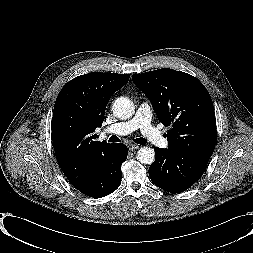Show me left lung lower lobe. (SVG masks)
Listing matches in <instances>:
<instances>
[{
    "mask_svg": "<svg viewBox=\"0 0 253 253\" xmlns=\"http://www.w3.org/2000/svg\"><path fill=\"white\" fill-rule=\"evenodd\" d=\"M156 159L149 168L152 182L159 188L179 193L190 188L202 175L211 156L155 148Z\"/></svg>",
    "mask_w": 253,
    "mask_h": 253,
    "instance_id": "left-lung-lower-lobe-1",
    "label": "left lung lower lobe"
}]
</instances>
